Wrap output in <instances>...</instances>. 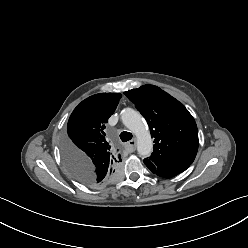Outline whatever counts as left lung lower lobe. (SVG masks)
<instances>
[{"label":"left lung lower lobe","instance_id":"1","mask_svg":"<svg viewBox=\"0 0 248 248\" xmlns=\"http://www.w3.org/2000/svg\"><path fill=\"white\" fill-rule=\"evenodd\" d=\"M144 163L152 173L164 178L174 177L180 174L181 172L185 171L190 166V165H177L170 167H159L146 159H144Z\"/></svg>","mask_w":248,"mask_h":248}]
</instances>
